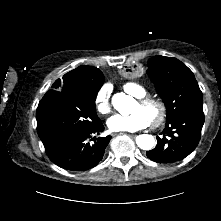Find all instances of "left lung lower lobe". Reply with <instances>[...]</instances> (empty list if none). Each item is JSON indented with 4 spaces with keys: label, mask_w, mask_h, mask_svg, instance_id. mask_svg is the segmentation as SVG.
<instances>
[{
    "label": "left lung lower lobe",
    "mask_w": 221,
    "mask_h": 221,
    "mask_svg": "<svg viewBox=\"0 0 221 221\" xmlns=\"http://www.w3.org/2000/svg\"><path fill=\"white\" fill-rule=\"evenodd\" d=\"M203 124V108H196L166 122L161 137H156V147L146 152L147 157L157 163H174L183 160L197 147ZM170 144H175L176 150L172 156L166 159L162 154V149Z\"/></svg>",
    "instance_id": "obj_1"
}]
</instances>
